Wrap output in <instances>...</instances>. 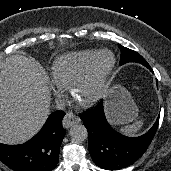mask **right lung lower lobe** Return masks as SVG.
Segmentation results:
<instances>
[{
	"instance_id": "98d812e1",
	"label": "right lung lower lobe",
	"mask_w": 171,
	"mask_h": 171,
	"mask_svg": "<svg viewBox=\"0 0 171 171\" xmlns=\"http://www.w3.org/2000/svg\"><path fill=\"white\" fill-rule=\"evenodd\" d=\"M64 115L63 111L50 114L39 133L24 144L0 143V160L14 171H52L66 133L61 125Z\"/></svg>"
}]
</instances>
